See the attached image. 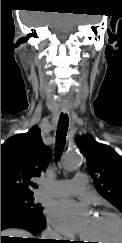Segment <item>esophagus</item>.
Returning <instances> with one entry per match:
<instances>
[{"mask_svg":"<svg viewBox=\"0 0 122 243\" xmlns=\"http://www.w3.org/2000/svg\"><path fill=\"white\" fill-rule=\"evenodd\" d=\"M62 111H63L64 113H67V112H68V110H66V109H63Z\"/></svg>","mask_w":122,"mask_h":243,"instance_id":"34e87169","label":"esophagus"}]
</instances>
